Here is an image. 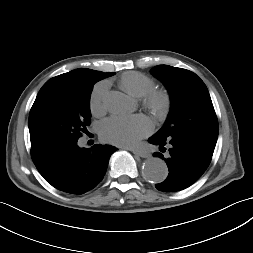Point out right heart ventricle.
I'll return each instance as SVG.
<instances>
[{"label": "right heart ventricle", "instance_id": "e07e8e85", "mask_svg": "<svg viewBox=\"0 0 253 253\" xmlns=\"http://www.w3.org/2000/svg\"><path fill=\"white\" fill-rule=\"evenodd\" d=\"M120 86L131 96L143 97L155 87V81L140 72H127L120 78Z\"/></svg>", "mask_w": 253, "mask_h": 253}]
</instances>
